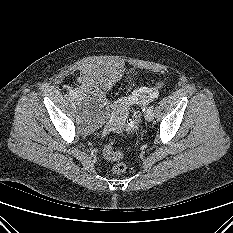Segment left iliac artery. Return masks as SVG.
<instances>
[{
    "mask_svg": "<svg viewBox=\"0 0 233 233\" xmlns=\"http://www.w3.org/2000/svg\"><path fill=\"white\" fill-rule=\"evenodd\" d=\"M148 109L153 110V109H154V106L151 105Z\"/></svg>",
    "mask_w": 233,
    "mask_h": 233,
    "instance_id": "obj_1",
    "label": "left iliac artery"
}]
</instances>
